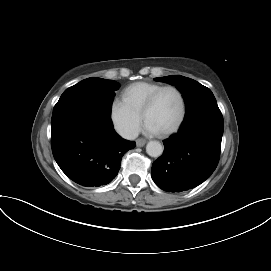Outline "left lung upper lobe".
Returning <instances> with one entry per match:
<instances>
[{"mask_svg": "<svg viewBox=\"0 0 271 271\" xmlns=\"http://www.w3.org/2000/svg\"><path fill=\"white\" fill-rule=\"evenodd\" d=\"M156 81L165 82L176 86L185 101V118L203 109L218 107L216 99L211 90L197 81L179 75L155 78Z\"/></svg>", "mask_w": 271, "mask_h": 271, "instance_id": "1", "label": "left lung upper lobe"}]
</instances>
